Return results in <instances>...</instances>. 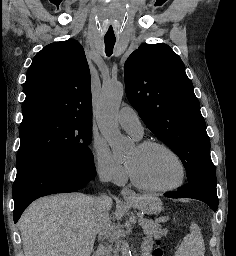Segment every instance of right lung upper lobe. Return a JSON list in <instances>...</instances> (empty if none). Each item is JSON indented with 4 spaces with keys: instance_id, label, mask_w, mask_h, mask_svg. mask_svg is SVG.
Returning <instances> with one entry per match:
<instances>
[{
    "instance_id": "right-lung-upper-lobe-1",
    "label": "right lung upper lobe",
    "mask_w": 236,
    "mask_h": 256,
    "mask_svg": "<svg viewBox=\"0 0 236 256\" xmlns=\"http://www.w3.org/2000/svg\"><path fill=\"white\" fill-rule=\"evenodd\" d=\"M24 84L23 119L54 115L91 121V78L81 44L73 39L45 46L34 57Z\"/></svg>"
}]
</instances>
